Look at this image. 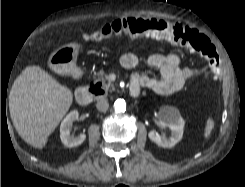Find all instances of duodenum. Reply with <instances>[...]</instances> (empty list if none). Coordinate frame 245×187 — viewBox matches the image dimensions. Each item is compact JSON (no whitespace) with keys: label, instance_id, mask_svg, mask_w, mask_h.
I'll use <instances>...</instances> for the list:
<instances>
[{"label":"duodenum","instance_id":"duodenum-1","mask_svg":"<svg viewBox=\"0 0 245 187\" xmlns=\"http://www.w3.org/2000/svg\"><path fill=\"white\" fill-rule=\"evenodd\" d=\"M130 92L132 95L136 96L139 94L138 87H130ZM100 94V87L95 85H90L89 87H79L75 91V100L81 105L89 103L93 96Z\"/></svg>","mask_w":245,"mask_h":187}]
</instances>
